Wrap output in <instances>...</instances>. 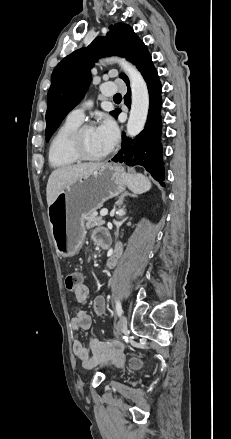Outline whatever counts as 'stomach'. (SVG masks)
Returning <instances> with one entry per match:
<instances>
[{
  "label": "stomach",
  "instance_id": "stomach-1",
  "mask_svg": "<svg viewBox=\"0 0 231 439\" xmlns=\"http://www.w3.org/2000/svg\"><path fill=\"white\" fill-rule=\"evenodd\" d=\"M126 175L121 166L104 164L69 184L48 206L52 237L60 256L72 257L80 251L86 235L85 217L125 191Z\"/></svg>",
  "mask_w": 231,
  "mask_h": 439
}]
</instances>
